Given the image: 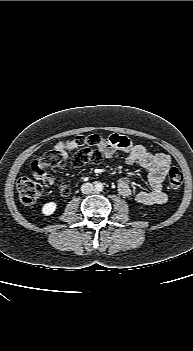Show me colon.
<instances>
[{
	"mask_svg": "<svg viewBox=\"0 0 193 351\" xmlns=\"http://www.w3.org/2000/svg\"><path fill=\"white\" fill-rule=\"evenodd\" d=\"M80 148L71 158V165L75 168L88 163H99L103 159L101 148L109 145V138L99 135L80 136L75 140ZM64 159L57 152H48L36 158L32 163V171L35 176L44 177L43 182L48 186H55L60 194L67 195L65 182L54 180L46 174V168L61 166ZM183 182V175L177 167H171L168 171V183L172 189H178ZM17 190L20 200L27 205L34 204L44 191L43 184L30 178L23 177L17 182Z\"/></svg>",
	"mask_w": 193,
	"mask_h": 351,
	"instance_id": "5ec220e1",
	"label": "colon"
}]
</instances>
